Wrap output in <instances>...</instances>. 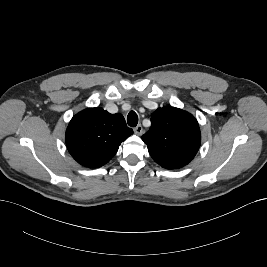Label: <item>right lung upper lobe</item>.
I'll return each instance as SVG.
<instances>
[{"mask_svg": "<svg viewBox=\"0 0 267 267\" xmlns=\"http://www.w3.org/2000/svg\"><path fill=\"white\" fill-rule=\"evenodd\" d=\"M132 134L122 114H110L99 107L87 108L71 119L66 145L79 164L98 168L109 162L120 144Z\"/></svg>", "mask_w": 267, "mask_h": 267, "instance_id": "obj_1", "label": "right lung upper lobe"}]
</instances>
